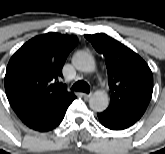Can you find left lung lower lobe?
Wrapping results in <instances>:
<instances>
[{"label":"left lung lower lobe","instance_id":"left-lung-lower-lobe-1","mask_svg":"<svg viewBox=\"0 0 165 154\" xmlns=\"http://www.w3.org/2000/svg\"><path fill=\"white\" fill-rule=\"evenodd\" d=\"M98 118L102 125L112 130H123L136 122L133 120L117 118L105 112L99 113Z\"/></svg>","mask_w":165,"mask_h":154}]
</instances>
